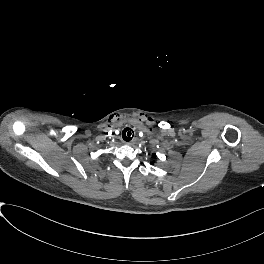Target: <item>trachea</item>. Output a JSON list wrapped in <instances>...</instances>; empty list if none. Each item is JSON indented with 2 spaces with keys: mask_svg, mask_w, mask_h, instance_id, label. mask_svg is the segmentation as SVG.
I'll list each match as a JSON object with an SVG mask.
<instances>
[{
  "mask_svg": "<svg viewBox=\"0 0 264 264\" xmlns=\"http://www.w3.org/2000/svg\"><path fill=\"white\" fill-rule=\"evenodd\" d=\"M134 136V132L131 128H125L123 131H122V138L125 140V141H130L132 140Z\"/></svg>",
  "mask_w": 264,
  "mask_h": 264,
  "instance_id": "3493384b",
  "label": "trachea"
}]
</instances>
